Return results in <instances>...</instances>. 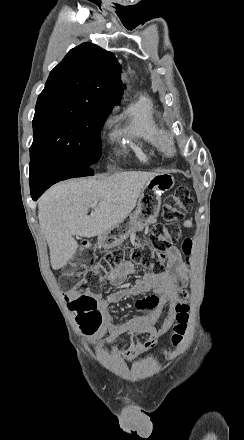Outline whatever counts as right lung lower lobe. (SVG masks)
<instances>
[{"label": "right lung lower lobe", "mask_w": 244, "mask_h": 440, "mask_svg": "<svg viewBox=\"0 0 244 440\" xmlns=\"http://www.w3.org/2000/svg\"><path fill=\"white\" fill-rule=\"evenodd\" d=\"M91 166H84L69 160L57 158H37L30 161V191L37 200L53 184L75 177L93 175Z\"/></svg>", "instance_id": "98d812e1"}]
</instances>
